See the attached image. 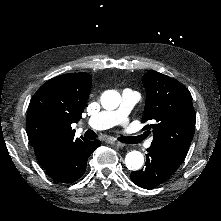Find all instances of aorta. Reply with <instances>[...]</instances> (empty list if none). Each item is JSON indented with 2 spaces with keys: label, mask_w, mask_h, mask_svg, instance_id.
<instances>
[{
  "label": "aorta",
  "mask_w": 221,
  "mask_h": 221,
  "mask_svg": "<svg viewBox=\"0 0 221 221\" xmlns=\"http://www.w3.org/2000/svg\"><path fill=\"white\" fill-rule=\"evenodd\" d=\"M121 102V96L116 91L105 92L101 96V104L107 110L116 109ZM125 165L129 170H140L144 165V156L141 152L133 150L126 154Z\"/></svg>",
  "instance_id": "obj_1"
}]
</instances>
